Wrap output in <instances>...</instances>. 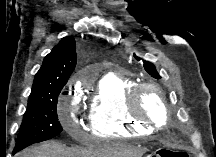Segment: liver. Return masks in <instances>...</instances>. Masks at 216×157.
<instances>
[{
	"label": "liver",
	"mask_w": 216,
	"mask_h": 157,
	"mask_svg": "<svg viewBox=\"0 0 216 157\" xmlns=\"http://www.w3.org/2000/svg\"><path fill=\"white\" fill-rule=\"evenodd\" d=\"M145 149L125 144L102 142L88 148H67L56 142L32 147L20 157H141Z\"/></svg>",
	"instance_id": "6515ba94"
}]
</instances>
